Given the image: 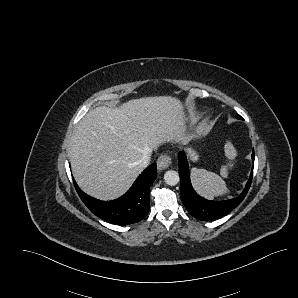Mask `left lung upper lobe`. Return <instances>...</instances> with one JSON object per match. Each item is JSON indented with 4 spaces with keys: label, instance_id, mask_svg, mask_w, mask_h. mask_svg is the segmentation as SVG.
Instances as JSON below:
<instances>
[{
    "label": "left lung upper lobe",
    "instance_id": "1",
    "mask_svg": "<svg viewBox=\"0 0 298 298\" xmlns=\"http://www.w3.org/2000/svg\"><path fill=\"white\" fill-rule=\"evenodd\" d=\"M237 118H238V119H241V118L239 117V115L237 116Z\"/></svg>",
    "mask_w": 298,
    "mask_h": 298
}]
</instances>
